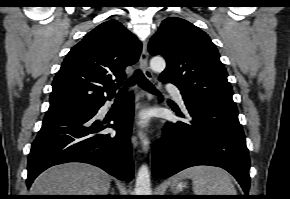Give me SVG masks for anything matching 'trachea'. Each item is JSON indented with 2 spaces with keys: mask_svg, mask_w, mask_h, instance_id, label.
Returning a JSON list of instances; mask_svg holds the SVG:
<instances>
[{
  "mask_svg": "<svg viewBox=\"0 0 290 199\" xmlns=\"http://www.w3.org/2000/svg\"><path fill=\"white\" fill-rule=\"evenodd\" d=\"M137 83L141 88L153 93V94H159L158 90L146 79V77L143 75L141 70H136L133 74V76L130 79L129 85H133ZM126 93V88H123L119 91L118 95L123 96Z\"/></svg>",
  "mask_w": 290,
  "mask_h": 199,
  "instance_id": "obj_1",
  "label": "trachea"
}]
</instances>
